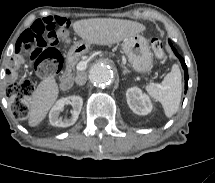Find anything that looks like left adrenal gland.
I'll return each mask as SVG.
<instances>
[{
    "label": "left adrenal gland",
    "instance_id": "obj_1",
    "mask_svg": "<svg viewBox=\"0 0 215 183\" xmlns=\"http://www.w3.org/2000/svg\"><path fill=\"white\" fill-rule=\"evenodd\" d=\"M122 68L124 69L123 74L126 75L127 73H131L126 66L122 65Z\"/></svg>",
    "mask_w": 215,
    "mask_h": 183
}]
</instances>
